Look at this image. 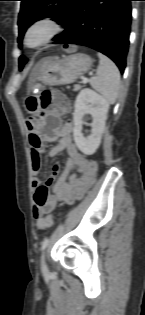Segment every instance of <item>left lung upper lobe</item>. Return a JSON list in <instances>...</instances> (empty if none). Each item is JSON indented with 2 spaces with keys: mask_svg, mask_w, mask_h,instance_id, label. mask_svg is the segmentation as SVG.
Masks as SVG:
<instances>
[{
  "mask_svg": "<svg viewBox=\"0 0 145 315\" xmlns=\"http://www.w3.org/2000/svg\"><path fill=\"white\" fill-rule=\"evenodd\" d=\"M21 9L18 16L19 37L21 43L26 29L41 17L51 16L60 25H64L75 0H20ZM27 59H19V69L22 70Z\"/></svg>",
  "mask_w": 145,
  "mask_h": 315,
  "instance_id": "left-lung-upper-lobe-1",
  "label": "left lung upper lobe"
}]
</instances>
